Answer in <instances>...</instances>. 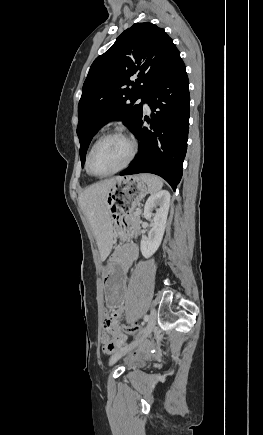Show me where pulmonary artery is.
<instances>
[{"mask_svg": "<svg viewBox=\"0 0 263 435\" xmlns=\"http://www.w3.org/2000/svg\"><path fill=\"white\" fill-rule=\"evenodd\" d=\"M144 108H145V110H149L150 109L149 105L146 102L144 103Z\"/></svg>", "mask_w": 263, "mask_h": 435, "instance_id": "obj_1", "label": "pulmonary artery"}]
</instances>
